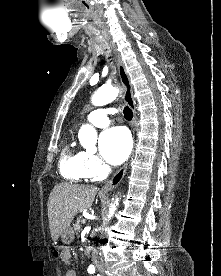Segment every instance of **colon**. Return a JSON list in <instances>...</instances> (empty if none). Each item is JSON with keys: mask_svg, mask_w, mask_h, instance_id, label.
<instances>
[{"mask_svg": "<svg viewBox=\"0 0 221 276\" xmlns=\"http://www.w3.org/2000/svg\"><path fill=\"white\" fill-rule=\"evenodd\" d=\"M55 249H56L55 255L58 257L62 255L63 251H65L66 248L62 244H59L58 246H56Z\"/></svg>", "mask_w": 221, "mask_h": 276, "instance_id": "1", "label": "colon"}]
</instances>
